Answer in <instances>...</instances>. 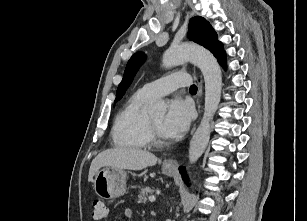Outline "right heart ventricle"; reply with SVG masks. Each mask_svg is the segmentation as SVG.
<instances>
[{
  "label": "right heart ventricle",
  "mask_w": 307,
  "mask_h": 221,
  "mask_svg": "<svg viewBox=\"0 0 307 221\" xmlns=\"http://www.w3.org/2000/svg\"><path fill=\"white\" fill-rule=\"evenodd\" d=\"M153 98L141 90L134 93L120 110L111 131L117 148L142 149L148 146V113L146 105Z\"/></svg>",
  "instance_id": "right-heart-ventricle-1"
}]
</instances>
